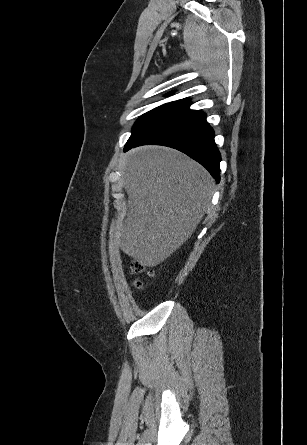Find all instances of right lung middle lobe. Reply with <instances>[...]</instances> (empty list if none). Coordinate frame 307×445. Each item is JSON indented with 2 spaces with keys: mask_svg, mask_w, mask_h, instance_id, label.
I'll return each instance as SVG.
<instances>
[{
  "mask_svg": "<svg viewBox=\"0 0 307 445\" xmlns=\"http://www.w3.org/2000/svg\"><path fill=\"white\" fill-rule=\"evenodd\" d=\"M186 102L182 100L173 101L170 103H166L164 105H161L159 107H156L152 109L151 111L143 114L141 117L137 119L135 122L133 129H132V135L146 127L147 125L153 123L154 121L158 120L162 116L169 114L180 107H182Z\"/></svg>",
  "mask_w": 307,
  "mask_h": 445,
  "instance_id": "obj_1",
  "label": "right lung middle lobe"
}]
</instances>
